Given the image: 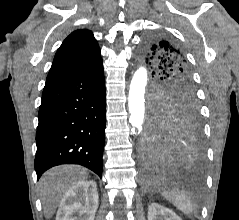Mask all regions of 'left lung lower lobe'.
<instances>
[{"instance_id":"left-lung-lower-lobe-1","label":"left lung lower lobe","mask_w":239,"mask_h":220,"mask_svg":"<svg viewBox=\"0 0 239 220\" xmlns=\"http://www.w3.org/2000/svg\"><path fill=\"white\" fill-rule=\"evenodd\" d=\"M149 172L170 164H196L203 158L201 125L196 112L170 113L152 107L143 142Z\"/></svg>"}]
</instances>
